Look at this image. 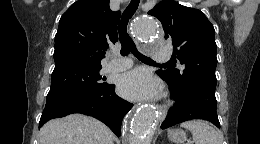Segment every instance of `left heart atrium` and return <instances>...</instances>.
Returning a JSON list of instances; mask_svg holds the SVG:
<instances>
[{
	"mask_svg": "<svg viewBox=\"0 0 260 144\" xmlns=\"http://www.w3.org/2000/svg\"><path fill=\"white\" fill-rule=\"evenodd\" d=\"M118 89L128 99L148 100L157 96L159 83L148 71L134 69L120 77Z\"/></svg>",
	"mask_w": 260,
	"mask_h": 144,
	"instance_id": "39dd6f15",
	"label": "left heart atrium"
}]
</instances>
